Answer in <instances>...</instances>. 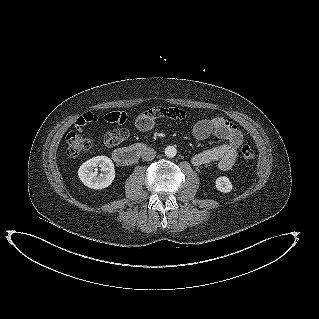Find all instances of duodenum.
I'll use <instances>...</instances> for the list:
<instances>
[{"label": "duodenum", "mask_w": 319, "mask_h": 319, "mask_svg": "<svg viewBox=\"0 0 319 319\" xmlns=\"http://www.w3.org/2000/svg\"><path fill=\"white\" fill-rule=\"evenodd\" d=\"M146 148V145L143 143H135L129 147L117 148L113 152V159L120 165L128 166L138 160Z\"/></svg>", "instance_id": "obj_1"}]
</instances>
